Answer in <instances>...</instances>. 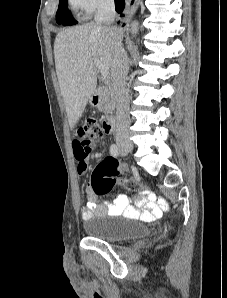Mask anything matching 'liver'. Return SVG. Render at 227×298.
<instances>
[{
    "instance_id": "obj_1",
    "label": "liver",
    "mask_w": 227,
    "mask_h": 298,
    "mask_svg": "<svg viewBox=\"0 0 227 298\" xmlns=\"http://www.w3.org/2000/svg\"><path fill=\"white\" fill-rule=\"evenodd\" d=\"M122 31H105L94 22L59 32L54 43L56 74L70 128L81 117L97 84L94 59L112 69L113 45Z\"/></svg>"
}]
</instances>
